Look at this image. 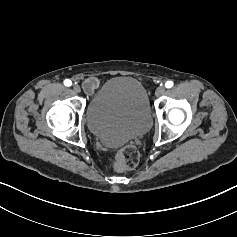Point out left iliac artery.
Here are the masks:
<instances>
[{"instance_id": "left-iliac-artery-1", "label": "left iliac artery", "mask_w": 237, "mask_h": 237, "mask_svg": "<svg viewBox=\"0 0 237 237\" xmlns=\"http://www.w3.org/2000/svg\"><path fill=\"white\" fill-rule=\"evenodd\" d=\"M173 82L172 81H167L166 83H165V87L166 88H171L172 86H173Z\"/></svg>"}]
</instances>
